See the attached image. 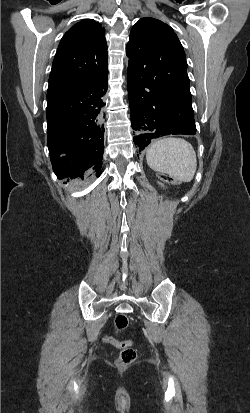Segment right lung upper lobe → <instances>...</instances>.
<instances>
[{"label": "right lung upper lobe", "mask_w": 250, "mask_h": 413, "mask_svg": "<svg viewBox=\"0 0 250 413\" xmlns=\"http://www.w3.org/2000/svg\"><path fill=\"white\" fill-rule=\"evenodd\" d=\"M105 29L91 19L71 27L58 46L47 92H55L94 80L107 69Z\"/></svg>", "instance_id": "cb5924a9"}]
</instances>
